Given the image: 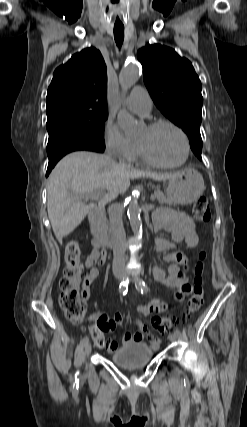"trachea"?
<instances>
[{
    "instance_id": "1",
    "label": "trachea",
    "mask_w": 247,
    "mask_h": 427,
    "mask_svg": "<svg viewBox=\"0 0 247 427\" xmlns=\"http://www.w3.org/2000/svg\"><path fill=\"white\" fill-rule=\"evenodd\" d=\"M114 38L117 46L120 48L124 40V26H114Z\"/></svg>"
}]
</instances>
